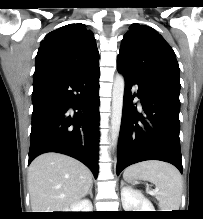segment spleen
I'll return each mask as SVG.
<instances>
[{
	"label": "spleen",
	"mask_w": 203,
	"mask_h": 219,
	"mask_svg": "<svg viewBox=\"0 0 203 219\" xmlns=\"http://www.w3.org/2000/svg\"><path fill=\"white\" fill-rule=\"evenodd\" d=\"M126 180H147L155 184L161 211L179 210L182 195V177L171 164L151 160L140 162L125 169Z\"/></svg>",
	"instance_id": "obj_1"
}]
</instances>
